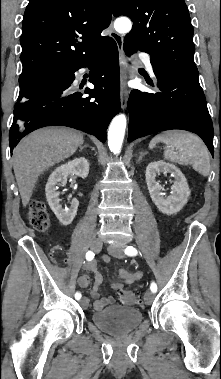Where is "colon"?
Returning a JSON list of instances; mask_svg holds the SVG:
<instances>
[{
    "mask_svg": "<svg viewBox=\"0 0 221 379\" xmlns=\"http://www.w3.org/2000/svg\"><path fill=\"white\" fill-rule=\"evenodd\" d=\"M29 222L39 232H45L49 228V215L43 202L35 201L32 203L29 211ZM119 296L124 304L133 305L141 303L140 295L132 291H122Z\"/></svg>",
    "mask_w": 221,
    "mask_h": 379,
    "instance_id": "1",
    "label": "colon"
}]
</instances>
